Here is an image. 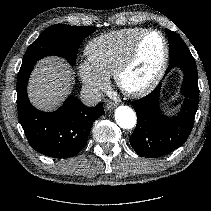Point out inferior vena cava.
Returning <instances> with one entry per match:
<instances>
[{
  "instance_id": "1",
  "label": "inferior vena cava",
  "mask_w": 211,
  "mask_h": 211,
  "mask_svg": "<svg viewBox=\"0 0 211 211\" xmlns=\"http://www.w3.org/2000/svg\"><path fill=\"white\" fill-rule=\"evenodd\" d=\"M103 93L97 88L83 86L80 92V99L86 106H95L101 101Z\"/></svg>"
}]
</instances>
